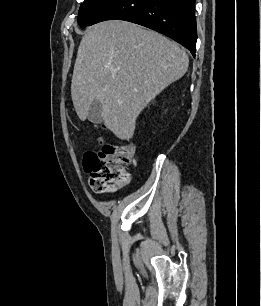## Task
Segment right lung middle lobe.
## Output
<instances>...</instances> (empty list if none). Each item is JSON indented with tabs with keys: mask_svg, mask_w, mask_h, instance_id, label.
I'll use <instances>...</instances> for the list:
<instances>
[{
	"mask_svg": "<svg viewBox=\"0 0 261 306\" xmlns=\"http://www.w3.org/2000/svg\"><path fill=\"white\" fill-rule=\"evenodd\" d=\"M114 0H84L79 9L78 23L80 27L88 26Z\"/></svg>",
	"mask_w": 261,
	"mask_h": 306,
	"instance_id": "right-lung-middle-lobe-1",
	"label": "right lung middle lobe"
}]
</instances>
